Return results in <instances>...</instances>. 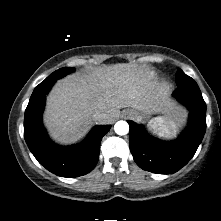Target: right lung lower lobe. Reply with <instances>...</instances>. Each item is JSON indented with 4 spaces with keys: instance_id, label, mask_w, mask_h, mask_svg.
Wrapping results in <instances>:
<instances>
[{
    "instance_id": "98d812e1",
    "label": "right lung lower lobe",
    "mask_w": 221,
    "mask_h": 221,
    "mask_svg": "<svg viewBox=\"0 0 221 221\" xmlns=\"http://www.w3.org/2000/svg\"><path fill=\"white\" fill-rule=\"evenodd\" d=\"M55 82L38 85L24 115V138L37 161L61 177H78L92 171L99 159L100 142L110 125L94 127L87 138L74 146H59L50 140L42 123L47 93Z\"/></svg>"
}]
</instances>
